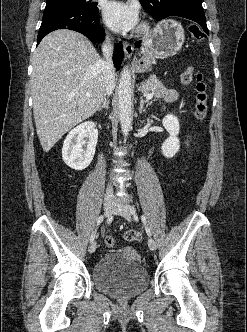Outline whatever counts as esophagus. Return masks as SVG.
Listing matches in <instances>:
<instances>
[{
  "label": "esophagus",
  "mask_w": 247,
  "mask_h": 332,
  "mask_svg": "<svg viewBox=\"0 0 247 332\" xmlns=\"http://www.w3.org/2000/svg\"><path fill=\"white\" fill-rule=\"evenodd\" d=\"M124 59L127 60L132 56L133 46L128 42L123 43Z\"/></svg>",
  "instance_id": "1"
}]
</instances>
